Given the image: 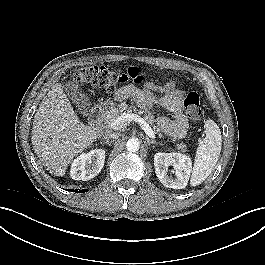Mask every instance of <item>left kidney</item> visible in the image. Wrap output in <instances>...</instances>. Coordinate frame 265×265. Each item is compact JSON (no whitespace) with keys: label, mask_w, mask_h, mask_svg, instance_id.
Listing matches in <instances>:
<instances>
[{"label":"left kidney","mask_w":265,"mask_h":265,"mask_svg":"<svg viewBox=\"0 0 265 265\" xmlns=\"http://www.w3.org/2000/svg\"><path fill=\"white\" fill-rule=\"evenodd\" d=\"M173 166L175 178L168 176V167ZM155 173L159 181L167 188L183 189L186 187L192 171L189 156L177 152L156 153L154 155Z\"/></svg>","instance_id":"1"}]
</instances>
